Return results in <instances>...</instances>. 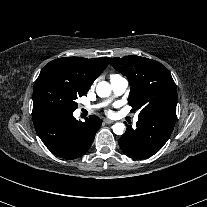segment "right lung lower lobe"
<instances>
[{
	"label": "right lung lower lobe",
	"mask_w": 207,
	"mask_h": 207,
	"mask_svg": "<svg viewBox=\"0 0 207 207\" xmlns=\"http://www.w3.org/2000/svg\"><path fill=\"white\" fill-rule=\"evenodd\" d=\"M33 123L38 136L52 153L64 159H76L88 151L102 120L90 116L81 122L73 113L51 112L34 115Z\"/></svg>",
	"instance_id": "obj_1"
}]
</instances>
